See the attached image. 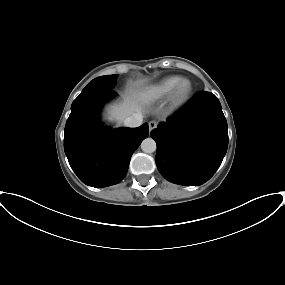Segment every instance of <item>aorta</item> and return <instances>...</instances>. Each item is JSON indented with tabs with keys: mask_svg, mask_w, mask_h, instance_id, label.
Returning <instances> with one entry per match:
<instances>
[{
	"mask_svg": "<svg viewBox=\"0 0 285 285\" xmlns=\"http://www.w3.org/2000/svg\"><path fill=\"white\" fill-rule=\"evenodd\" d=\"M141 149L145 153H153L156 150V142L152 138H146L141 143Z\"/></svg>",
	"mask_w": 285,
	"mask_h": 285,
	"instance_id": "obj_1",
	"label": "aorta"
}]
</instances>
